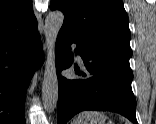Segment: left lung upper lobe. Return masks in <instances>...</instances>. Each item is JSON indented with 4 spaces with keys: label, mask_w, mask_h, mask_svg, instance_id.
<instances>
[{
    "label": "left lung upper lobe",
    "mask_w": 156,
    "mask_h": 124,
    "mask_svg": "<svg viewBox=\"0 0 156 124\" xmlns=\"http://www.w3.org/2000/svg\"><path fill=\"white\" fill-rule=\"evenodd\" d=\"M64 14L61 30L85 47L112 52L129 60V19L122 0H51Z\"/></svg>",
    "instance_id": "5c2ea615"
}]
</instances>
